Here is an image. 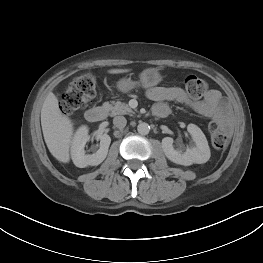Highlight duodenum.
Instances as JSON below:
<instances>
[{
	"label": "duodenum",
	"mask_w": 263,
	"mask_h": 263,
	"mask_svg": "<svg viewBox=\"0 0 263 263\" xmlns=\"http://www.w3.org/2000/svg\"><path fill=\"white\" fill-rule=\"evenodd\" d=\"M169 114L168 110H163L157 114L159 117H166ZM107 110L105 107H91L85 112V118L91 123H98L106 118Z\"/></svg>",
	"instance_id": "obj_1"
}]
</instances>
